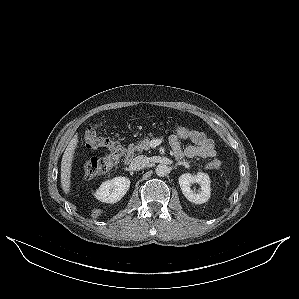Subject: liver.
Here are the masks:
<instances>
[{
  "label": "liver",
  "mask_w": 299,
  "mask_h": 299,
  "mask_svg": "<svg viewBox=\"0 0 299 299\" xmlns=\"http://www.w3.org/2000/svg\"><path fill=\"white\" fill-rule=\"evenodd\" d=\"M78 144V135L75 134L66 147L61 161V187L65 194L70 192L71 170L75 149Z\"/></svg>",
  "instance_id": "1"
}]
</instances>
